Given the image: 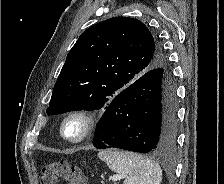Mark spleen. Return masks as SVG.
Wrapping results in <instances>:
<instances>
[{"mask_svg": "<svg viewBox=\"0 0 224 184\" xmlns=\"http://www.w3.org/2000/svg\"><path fill=\"white\" fill-rule=\"evenodd\" d=\"M98 157L108 167L125 177L124 184H160L162 181L161 167L143 155L118 151H100Z\"/></svg>", "mask_w": 224, "mask_h": 184, "instance_id": "1", "label": "spleen"}]
</instances>
